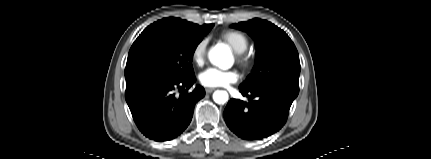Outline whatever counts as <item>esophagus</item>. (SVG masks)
<instances>
[{
	"label": "esophagus",
	"mask_w": 431,
	"mask_h": 159,
	"mask_svg": "<svg viewBox=\"0 0 431 159\" xmlns=\"http://www.w3.org/2000/svg\"><path fill=\"white\" fill-rule=\"evenodd\" d=\"M214 90H215L214 88H206L205 89V91H206L207 94L212 93Z\"/></svg>",
	"instance_id": "34e87169"
}]
</instances>
